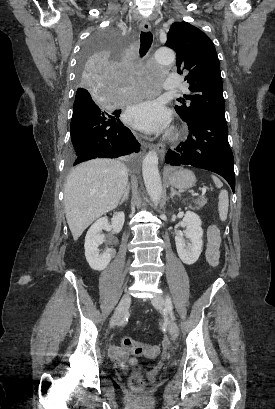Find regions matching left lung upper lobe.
I'll return each mask as SVG.
<instances>
[{"label":"left lung upper lobe","mask_w":275,"mask_h":409,"mask_svg":"<svg viewBox=\"0 0 275 409\" xmlns=\"http://www.w3.org/2000/svg\"><path fill=\"white\" fill-rule=\"evenodd\" d=\"M165 45L177 53V72L190 84V94L177 99L176 112L187 123L206 115L225 117L220 63L210 38L187 22H175Z\"/></svg>","instance_id":"left-lung-upper-lobe-1"}]
</instances>
